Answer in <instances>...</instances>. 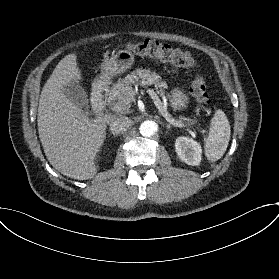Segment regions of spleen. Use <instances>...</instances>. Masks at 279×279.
<instances>
[{
	"label": "spleen",
	"mask_w": 279,
	"mask_h": 279,
	"mask_svg": "<svg viewBox=\"0 0 279 279\" xmlns=\"http://www.w3.org/2000/svg\"><path fill=\"white\" fill-rule=\"evenodd\" d=\"M231 135V128L228 119L221 110H217L211 120L209 135L204 144V151L207 160L215 162L225 154Z\"/></svg>",
	"instance_id": "3e777b00"
}]
</instances>
